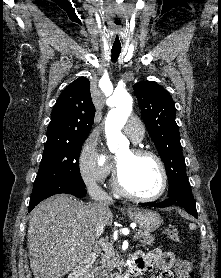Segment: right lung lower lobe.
<instances>
[{"label":"right lung lower lobe","mask_w":221,"mask_h":278,"mask_svg":"<svg viewBox=\"0 0 221 278\" xmlns=\"http://www.w3.org/2000/svg\"><path fill=\"white\" fill-rule=\"evenodd\" d=\"M59 193L72 194L78 198L86 195L85 184H78L70 181L54 183L47 188L31 195L28 212H30L42 200Z\"/></svg>","instance_id":"98d812e1"}]
</instances>
